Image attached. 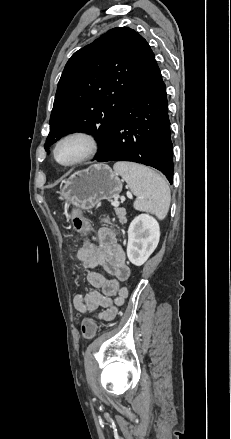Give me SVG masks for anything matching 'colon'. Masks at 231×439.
Here are the masks:
<instances>
[{"instance_id": "obj_1", "label": "colon", "mask_w": 231, "mask_h": 439, "mask_svg": "<svg viewBox=\"0 0 231 439\" xmlns=\"http://www.w3.org/2000/svg\"><path fill=\"white\" fill-rule=\"evenodd\" d=\"M72 223L76 231L83 232L88 230L87 221L80 215L78 211H74L72 215ZM89 257L85 254L80 255L78 262L81 265L86 264ZM97 325L92 319H85L82 324V332L86 338H93L96 334Z\"/></svg>"}]
</instances>
